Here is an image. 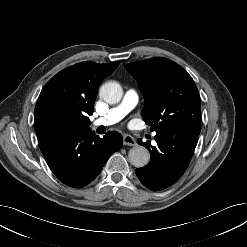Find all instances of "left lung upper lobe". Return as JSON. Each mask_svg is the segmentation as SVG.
I'll return each instance as SVG.
<instances>
[{
	"mask_svg": "<svg viewBox=\"0 0 247 247\" xmlns=\"http://www.w3.org/2000/svg\"><path fill=\"white\" fill-rule=\"evenodd\" d=\"M124 66L137 80L145 98L141 114L152 131L160 133L177 125L200 134L199 93L185 69L166 58H152Z\"/></svg>",
	"mask_w": 247,
	"mask_h": 247,
	"instance_id": "left-lung-upper-lobe-1",
	"label": "left lung upper lobe"
}]
</instances>
